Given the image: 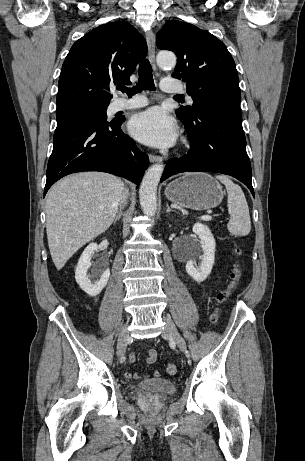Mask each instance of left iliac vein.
<instances>
[{
	"label": "left iliac vein",
	"mask_w": 305,
	"mask_h": 461,
	"mask_svg": "<svg viewBox=\"0 0 305 461\" xmlns=\"http://www.w3.org/2000/svg\"><path fill=\"white\" fill-rule=\"evenodd\" d=\"M166 326L162 330V337L171 339L181 351L186 350V343L170 318H164Z\"/></svg>",
	"instance_id": "obj_1"
}]
</instances>
